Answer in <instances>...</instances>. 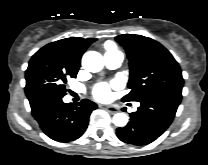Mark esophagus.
I'll list each match as a JSON object with an SVG mask.
<instances>
[{"mask_svg":"<svg viewBox=\"0 0 208 165\" xmlns=\"http://www.w3.org/2000/svg\"><path fill=\"white\" fill-rule=\"evenodd\" d=\"M101 108L105 109L106 111L110 112V113H116L117 111L114 110L113 107L111 106H107V105H100Z\"/></svg>","mask_w":208,"mask_h":165,"instance_id":"obj_1","label":"esophagus"}]
</instances>
